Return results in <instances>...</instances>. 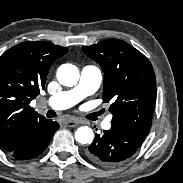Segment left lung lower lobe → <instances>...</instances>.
I'll use <instances>...</instances> for the list:
<instances>
[{
    "instance_id": "0a47b994",
    "label": "left lung lower lobe",
    "mask_w": 183,
    "mask_h": 183,
    "mask_svg": "<svg viewBox=\"0 0 183 183\" xmlns=\"http://www.w3.org/2000/svg\"><path fill=\"white\" fill-rule=\"evenodd\" d=\"M144 138V135L126 126L112 124L110 130L103 131V135H95L86 154L99 165L113 166L131 157L142 145Z\"/></svg>"
}]
</instances>
